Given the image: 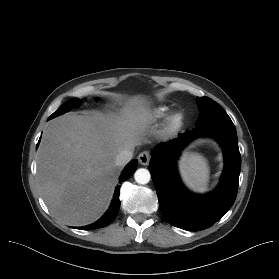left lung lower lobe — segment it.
<instances>
[{
	"label": "left lung lower lobe",
	"mask_w": 279,
	"mask_h": 279,
	"mask_svg": "<svg viewBox=\"0 0 279 279\" xmlns=\"http://www.w3.org/2000/svg\"><path fill=\"white\" fill-rule=\"evenodd\" d=\"M213 136L224 150L225 169L219 187L207 196L188 192L180 182L175 159L179 151L198 136ZM149 170L163 218L173 226L199 231L212 226L233 205L238 189L241 156L233 122L196 126L178 138L161 143L151 154Z\"/></svg>",
	"instance_id": "left-lung-lower-lobe-1"
}]
</instances>
